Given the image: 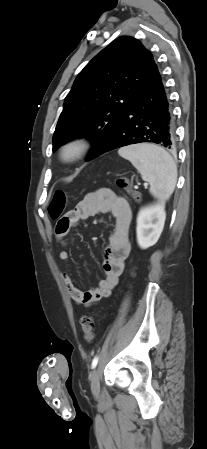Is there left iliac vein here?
Returning a JSON list of instances; mask_svg holds the SVG:
<instances>
[{"mask_svg":"<svg viewBox=\"0 0 207 449\" xmlns=\"http://www.w3.org/2000/svg\"><path fill=\"white\" fill-rule=\"evenodd\" d=\"M100 376L101 372L99 368L94 369L90 374L91 391L94 396L99 395L100 392Z\"/></svg>","mask_w":207,"mask_h":449,"instance_id":"4c4485c4","label":"left iliac vein"}]
</instances>
